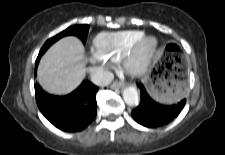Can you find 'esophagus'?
<instances>
[{
    "instance_id": "esophagus-1",
    "label": "esophagus",
    "mask_w": 225,
    "mask_h": 155,
    "mask_svg": "<svg viewBox=\"0 0 225 155\" xmlns=\"http://www.w3.org/2000/svg\"><path fill=\"white\" fill-rule=\"evenodd\" d=\"M124 86V84L120 81H116L111 85V88L113 89H117V88H122Z\"/></svg>"
}]
</instances>
